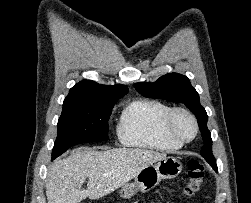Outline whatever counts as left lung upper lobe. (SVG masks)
I'll list each match as a JSON object with an SVG mask.
<instances>
[{
	"instance_id": "left-lung-upper-lobe-1",
	"label": "left lung upper lobe",
	"mask_w": 251,
	"mask_h": 203,
	"mask_svg": "<svg viewBox=\"0 0 251 203\" xmlns=\"http://www.w3.org/2000/svg\"><path fill=\"white\" fill-rule=\"evenodd\" d=\"M135 89L145 97L166 99L183 103L196 116L204 141L201 156L214 168L217 169L215 158L212 154L211 133L207 128V113L201 106L199 95L192 87L189 79L178 73L163 75L153 83H136Z\"/></svg>"
}]
</instances>
